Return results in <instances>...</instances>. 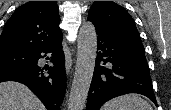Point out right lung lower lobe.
I'll return each mask as SVG.
<instances>
[{"mask_svg": "<svg viewBox=\"0 0 171 110\" xmlns=\"http://www.w3.org/2000/svg\"><path fill=\"white\" fill-rule=\"evenodd\" d=\"M61 40H57L34 52L31 64L15 69L0 71V82L17 81L28 86L43 102L48 110H60L65 91L66 77L64 70V52ZM50 54V66H41L38 60L43 58L41 53Z\"/></svg>", "mask_w": 171, "mask_h": 110, "instance_id": "right-lung-lower-lobe-1", "label": "right lung lower lobe"}]
</instances>
